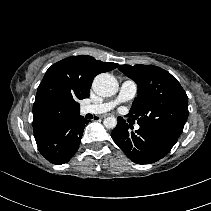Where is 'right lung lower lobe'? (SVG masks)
Returning <instances> with one entry per match:
<instances>
[{"label": "right lung lower lobe", "instance_id": "98d812e1", "mask_svg": "<svg viewBox=\"0 0 211 211\" xmlns=\"http://www.w3.org/2000/svg\"><path fill=\"white\" fill-rule=\"evenodd\" d=\"M87 122L82 116L76 115L36 134L38 150L53 164L68 162L79 148Z\"/></svg>", "mask_w": 211, "mask_h": 211}]
</instances>
